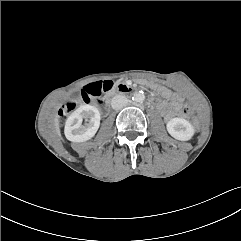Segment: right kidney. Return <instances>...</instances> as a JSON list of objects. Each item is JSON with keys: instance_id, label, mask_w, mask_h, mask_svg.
Returning <instances> with one entry per match:
<instances>
[{"instance_id": "ca27d5eb", "label": "right kidney", "mask_w": 241, "mask_h": 241, "mask_svg": "<svg viewBox=\"0 0 241 241\" xmlns=\"http://www.w3.org/2000/svg\"><path fill=\"white\" fill-rule=\"evenodd\" d=\"M88 118L89 123L82 125L83 119ZM99 126V110L91 105H82L67 118L64 133L71 142H85L94 137Z\"/></svg>"}]
</instances>
